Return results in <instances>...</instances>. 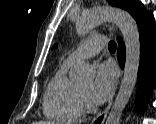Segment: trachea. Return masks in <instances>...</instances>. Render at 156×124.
I'll return each mask as SVG.
<instances>
[{"label":"trachea","mask_w":156,"mask_h":124,"mask_svg":"<svg viewBox=\"0 0 156 124\" xmlns=\"http://www.w3.org/2000/svg\"><path fill=\"white\" fill-rule=\"evenodd\" d=\"M108 48L110 51H115L116 50V43L114 41H110L108 44Z\"/></svg>","instance_id":"obj_1"}]
</instances>
